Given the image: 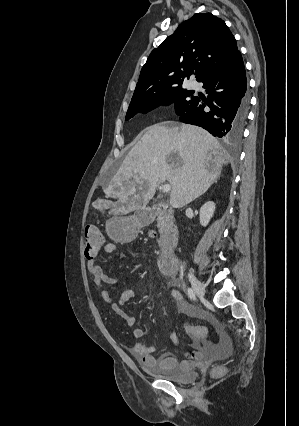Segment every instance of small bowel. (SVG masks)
<instances>
[{"mask_svg":"<svg viewBox=\"0 0 299 426\" xmlns=\"http://www.w3.org/2000/svg\"><path fill=\"white\" fill-rule=\"evenodd\" d=\"M117 247L114 243H106L103 245L99 253L92 259L87 260V268L92 278L93 283L100 289L102 299L110 305L112 310L121 317L127 326L132 328V335L135 338H141L144 332L141 328L135 327L136 318L133 314L128 313L124 309V305L136 297V292L133 289L124 290L118 299H114L106 285H116L117 280L107 275L102 267L97 263V258L100 254H111L116 251ZM173 297L180 303L179 311L181 313H190L191 309L181 303V296L177 291L172 292ZM176 336L171 334L170 342L176 343ZM192 351L186 354V358L178 361L170 352H163L160 356L155 357L156 348L147 346L142 343H136L131 349L132 354L136 357L139 363L144 367H158L162 369L190 370L197 365L207 363L213 358L219 350V344L210 341H191Z\"/></svg>","mask_w":299,"mask_h":426,"instance_id":"obj_1","label":"small bowel"}]
</instances>
